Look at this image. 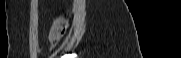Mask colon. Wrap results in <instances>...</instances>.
Returning a JSON list of instances; mask_svg holds the SVG:
<instances>
[{"label":"colon","instance_id":"5ec220e1","mask_svg":"<svg viewBox=\"0 0 181 58\" xmlns=\"http://www.w3.org/2000/svg\"><path fill=\"white\" fill-rule=\"evenodd\" d=\"M68 28V21L65 17L57 18L54 23L50 34V41L52 44H57Z\"/></svg>","mask_w":181,"mask_h":58}]
</instances>
